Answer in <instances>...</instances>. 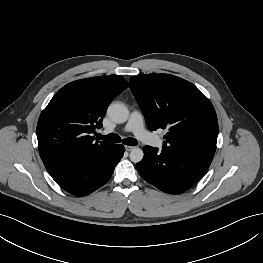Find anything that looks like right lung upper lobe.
Listing matches in <instances>:
<instances>
[{
  "label": "right lung upper lobe",
  "instance_id": "obj_1",
  "mask_svg": "<svg viewBox=\"0 0 263 263\" xmlns=\"http://www.w3.org/2000/svg\"><path fill=\"white\" fill-rule=\"evenodd\" d=\"M128 87L118 75L76 80L62 87L42 111L37 124L40 157L56 180L112 144L94 142L107 107Z\"/></svg>",
  "mask_w": 263,
  "mask_h": 263
}]
</instances>
